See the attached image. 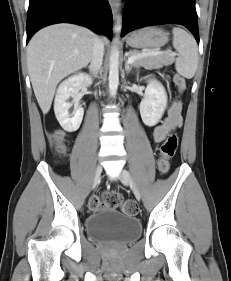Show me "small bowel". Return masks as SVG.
Wrapping results in <instances>:
<instances>
[{
    "mask_svg": "<svg viewBox=\"0 0 231 281\" xmlns=\"http://www.w3.org/2000/svg\"><path fill=\"white\" fill-rule=\"evenodd\" d=\"M182 126V103L173 99L167 110V116L162 119L161 123L154 127L152 138L155 143L163 141L166 136L173 130Z\"/></svg>",
    "mask_w": 231,
    "mask_h": 281,
    "instance_id": "obj_1",
    "label": "small bowel"
}]
</instances>
